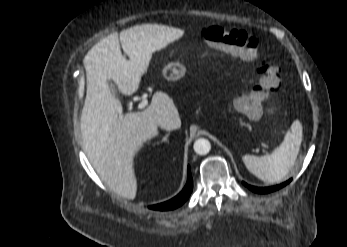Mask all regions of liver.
I'll list each match as a JSON object with an SVG mask.
<instances>
[{
	"instance_id": "6515ba94",
	"label": "liver",
	"mask_w": 347,
	"mask_h": 247,
	"mask_svg": "<svg viewBox=\"0 0 347 247\" xmlns=\"http://www.w3.org/2000/svg\"><path fill=\"white\" fill-rule=\"evenodd\" d=\"M183 30L145 24L122 30L96 43L86 54L87 92L81 114V134L87 157L107 185L134 199L137 192L133 161L143 144L158 135L159 121L174 119L181 126L172 98L156 92L149 107L118 117L122 104L107 83L112 80L123 95L137 91L147 73L152 53L181 37ZM121 44V46H120ZM121 47L129 56L126 60Z\"/></svg>"
}]
</instances>
